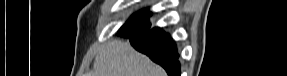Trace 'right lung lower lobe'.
I'll return each instance as SVG.
<instances>
[{
    "label": "right lung lower lobe",
    "mask_w": 287,
    "mask_h": 76,
    "mask_svg": "<svg viewBox=\"0 0 287 76\" xmlns=\"http://www.w3.org/2000/svg\"><path fill=\"white\" fill-rule=\"evenodd\" d=\"M132 46L160 64L169 76H180L178 54L174 41L159 28L128 36Z\"/></svg>",
    "instance_id": "obj_1"
}]
</instances>
